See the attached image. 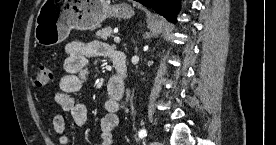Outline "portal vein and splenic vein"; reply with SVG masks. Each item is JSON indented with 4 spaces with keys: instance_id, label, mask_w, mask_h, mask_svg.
<instances>
[{
    "instance_id": "obj_1",
    "label": "portal vein and splenic vein",
    "mask_w": 276,
    "mask_h": 145,
    "mask_svg": "<svg viewBox=\"0 0 276 145\" xmlns=\"http://www.w3.org/2000/svg\"><path fill=\"white\" fill-rule=\"evenodd\" d=\"M120 41H121L120 37H118V36L114 37V42L115 43H120Z\"/></svg>"
}]
</instances>
